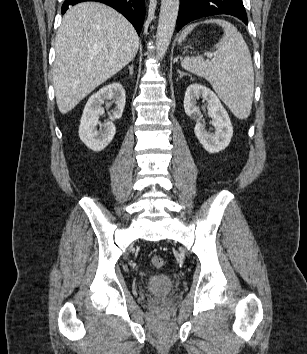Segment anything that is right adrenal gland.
Listing matches in <instances>:
<instances>
[{"instance_id": "1", "label": "right adrenal gland", "mask_w": 307, "mask_h": 354, "mask_svg": "<svg viewBox=\"0 0 307 354\" xmlns=\"http://www.w3.org/2000/svg\"><path fill=\"white\" fill-rule=\"evenodd\" d=\"M130 74L133 75V65L128 66Z\"/></svg>"}]
</instances>
